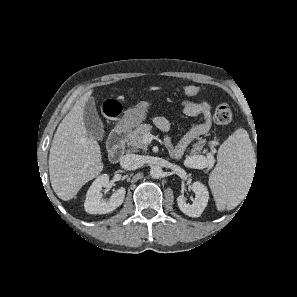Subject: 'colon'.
<instances>
[{
  "label": "colon",
  "instance_id": "colon-1",
  "mask_svg": "<svg viewBox=\"0 0 297 297\" xmlns=\"http://www.w3.org/2000/svg\"><path fill=\"white\" fill-rule=\"evenodd\" d=\"M200 91L201 89L195 85H189L183 89L184 94L189 97L198 95ZM101 109L102 112L109 118L117 117L120 115L122 110L120 104L113 99L105 100L102 103ZM213 118L217 124H228L232 120V110L230 106L226 103L218 105L214 111Z\"/></svg>",
  "mask_w": 297,
  "mask_h": 297
}]
</instances>
